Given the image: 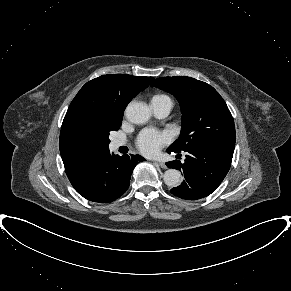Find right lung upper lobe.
Returning <instances> with one entry per match:
<instances>
[{"instance_id":"obj_1","label":"right lung upper lobe","mask_w":291,"mask_h":291,"mask_svg":"<svg viewBox=\"0 0 291 291\" xmlns=\"http://www.w3.org/2000/svg\"><path fill=\"white\" fill-rule=\"evenodd\" d=\"M153 79L109 74L87 82L80 89L67 110L60 132V154L69 180L74 179L99 155L107 152L100 147L76 143L78 129L105 117H122L131 99L148 87Z\"/></svg>"}]
</instances>
